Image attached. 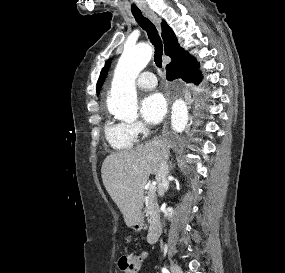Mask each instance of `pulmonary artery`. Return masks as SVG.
I'll use <instances>...</instances> for the list:
<instances>
[{"label": "pulmonary artery", "instance_id": "e3ab8cb5", "mask_svg": "<svg viewBox=\"0 0 285 273\" xmlns=\"http://www.w3.org/2000/svg\"><path fill=\"white\" fill-rule=\"evenodd\" d=\"M137 85L143 89H152L156 87L157 79L155 74L150 71L142 72L137 79Z\"/></svg>", "mask_w": 285, "mask_h": 273}]
</instances>
